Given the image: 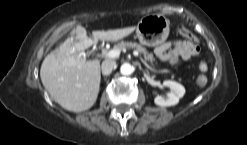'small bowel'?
Segmentation results:
<instances>
[{"instance_id":"small-bowel-1","label":"small bowel","mask_w":247,"mask_h":145,"mask_svg":"<svg viewBox=\"0 0 247 145\" xmlns=\"http://www.w3.org/2000/svg\"><path fill=\"white\" fill-rule=\"evenodd\" d=\"M155 55L162 61L176 63L180 59L190 60L200 56L198 39H177L166 41L155 48Z\"/></svg>"}]
</instances>
